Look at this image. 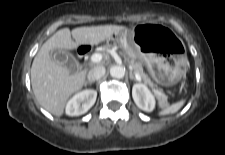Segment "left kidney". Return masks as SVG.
Returning <instances> with one entry per match:
<instances>
[{"mask_svg": "<svg viewBox=\"0 0 225 155\" xmlns=\"http://www.w3.org/2000/svg\"><path fill=\"white\" fill-rule=\"evenodd\" d=\"M132 97L135 104L143 111L151 112L155 108V97L144 84L133 85Z\"/></svg>", "mask_w": 225, "mask_h": 155, "instance_id": "1", "label": "left kidney"}]
</instances>
